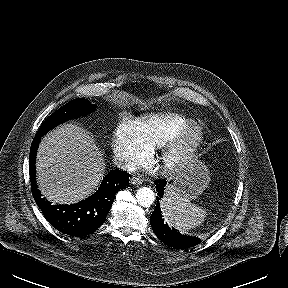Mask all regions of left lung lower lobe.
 <instances>
[{"mask_svg":"<svg viewBox=\"0 0 288 288\" xmlns=\"http://www.w3.org/2000/svg\"><path fill=\"white\" fill-rule=\"evenodd\" d=\"M156 191L158 192L157 204L155 210L151 214L150 223L155 235L166 245L174 249H186L193 247L201 242V240L195 236L182 235L175 228L169 227L164 222L162 212L160 209V198L163 197L164 187L166 180L155 181Z\"/></svg>","mask_w":288,"mask_h":288,"instance_id":"1","label":"left lung lower lobe"}]
</instances>
